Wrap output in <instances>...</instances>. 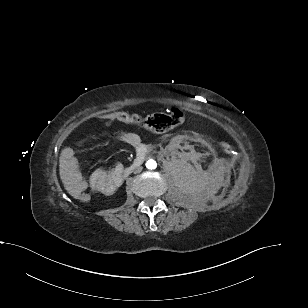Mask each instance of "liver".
<instances>
[{
	"instance_id": "liver-1",
	"label": "liver",
	"mask_w": 308,
	"mask_h": 308,
	"mask_svg": "<svg viewBox=\"0 0 308 308\" xmlns=\"http://www.w3.org/2000/svg\"><path fill=\"white\" fill-rule=\"evenodd\" d=\"M65 187H66V189L68 190V192H69L70 194H72V192H71L70 188H69V187H67V186H65Z\"/></svg>"
}]
</instances>
